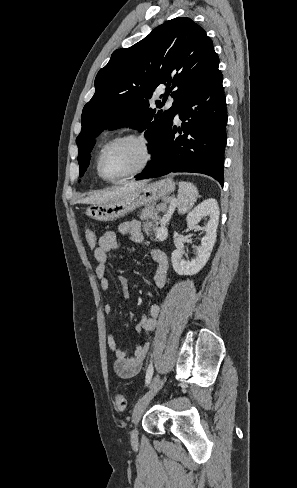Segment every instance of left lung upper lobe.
I'll return each instance as SVG.
<instances>
[{"label": "left lung upper lobe", "mask_w": 297, "mask_h": 488, "mask_svg": "<svg viewBox=\"0 0 297 488\" xmlns=\"http://www.w3.org/2000/svg\"><path fill=\"white\" fill-rule=\"evenodd\" d=\"M218 65L212 40L187 17L169 20L132 47L114 51L98 72L95 94L83 108L76 139L80 176L89 165L94 138L104 129L145 130L156 156L175 114L218 74ZM158 86L166 87L163 103L169 95L174 98L165 112L149 105ZM156 106L161 108L162 103L157 101Z\"/></svg>", "instance_id": "obj_1"}]
</instances>
